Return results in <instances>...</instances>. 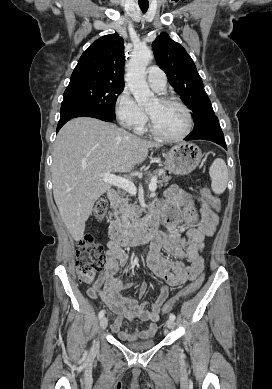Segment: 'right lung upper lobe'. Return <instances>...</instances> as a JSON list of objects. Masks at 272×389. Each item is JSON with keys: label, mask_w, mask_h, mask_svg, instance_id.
Segmentation results:
<instances>
[{"label": "right lung upper lobe", "mask_w": 272, "mask_h": 389, "mask_svg": "<svg viewBox=\"0 0 272 389\" xmlns=\"http://www.w3.org/2000/svg\"><path fill=\"white\" fill-rule=\"evenodd\" d=\"M124 62L122 37L116 33L103 36L82 54L70 83L91 81L124 86Z\"/></svg>", "instance_id": "1"}]
</instances>
